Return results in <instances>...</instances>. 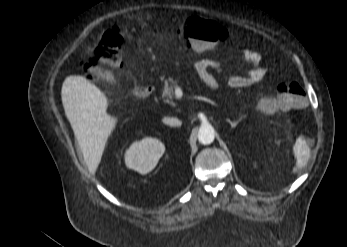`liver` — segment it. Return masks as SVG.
<instances>
[{"label": "liver", "instance_id": "6515ba94", "mask_svg": "<svg viewBox=\"0 0 347 247\" xmlns=\"http://www.w3.org/2000/svg\"><path fill=\"white\" fill-rule=\"evenodd\" d=\"M61 97L88 170L94 174L118 120L107 114L105 94L83 76L66 77Z\"/></svg>", "mask_w": 347, "mask_h": 247}]
</instances>
